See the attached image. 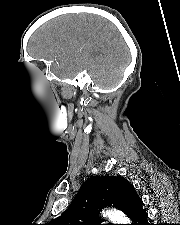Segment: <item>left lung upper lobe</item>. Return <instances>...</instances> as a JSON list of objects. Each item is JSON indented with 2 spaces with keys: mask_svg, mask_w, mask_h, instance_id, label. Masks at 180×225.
Listing matches in <instances>:
<instances>
[{
  "mask_svg": "<svg viewBox=\"0 0 180 225\" xmlns=\"http://www.w3.org/2000/svg\"><path fill=\"white\" fill-rule=\"evenodd\" d=\"M142 205L135 188L126 179L93 176L83 183L69 208L47 225H103L97 216L100 207H116L130 218Z\"/></svg>",
  "mask_w": 180,
  "mask_h": 225,
  "instance_id": "5c2ea615",
  "label": "left lung upper lobe"
}]
</instances>
